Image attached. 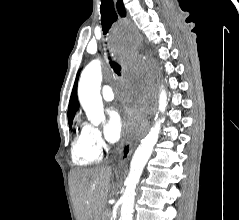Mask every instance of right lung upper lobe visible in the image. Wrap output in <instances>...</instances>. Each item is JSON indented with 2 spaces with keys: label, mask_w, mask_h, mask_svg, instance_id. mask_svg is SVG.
I'll return each mask as SVG.
<instances>
[{
  "label": "right lung upper lobe",
  "mask_w": 239,
  "mask_h": 220,
  "mask_svg": "<svg viewBox=\"0 0 239 220\" xmlns=\"http://www.w3.org/2000/svg\"><path fill=\"white\" fill-rule=\"evenodd\" d=\"M78 76H79V73L77 74V77L75 79V83H74L73 90H72L71 97H70V101H69L68 121L74 118L75 113H76V111L79 107V103H78V99H77Z\"/></svg>",
  "instance_id": "right-lung-upper-lobe-1"
}]
</instances>
